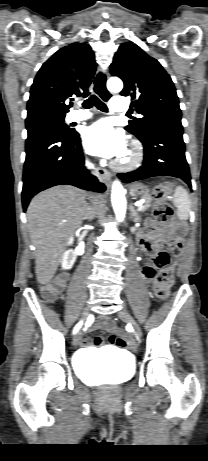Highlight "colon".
<instances>
[{
  "label": "colon",
  "instance_id": "obj_1",
  "mask_svg": "<svg viewBox=\"0 0 208 461\" xmlns=\"http://www.w3.org/2000/svg\"><path fill=\"white\" fill-rule=\"evenodd\" d=\"M154 198L159 202L155 209V218L161 225H174L175 230L180 234L183 233V227L179 225L174 217L172 207L167 203V187L158 186L153 190ZM172 248L176 251L181 249V243L176 239L172 243ZM170 256L167 252H160L153 260L154 265L161 270L156 275L154 281V293L155 296L161 300H166L170 296V287L174 282V269L169 266ZM64 282L61 280L54 281L43 288V293L48 300L55 299L58 294L63 290ZM118 336L121 338L120 346L124 348L127 342V337L120 333L118 329L115 330Z\"/></svg>",
  "mask_w": 208,
  "mask_h": 461
}]
</instances>
